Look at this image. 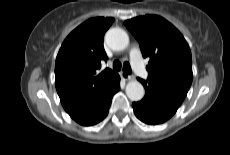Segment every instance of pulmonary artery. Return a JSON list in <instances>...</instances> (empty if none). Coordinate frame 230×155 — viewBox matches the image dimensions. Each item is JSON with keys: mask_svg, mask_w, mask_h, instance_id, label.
Instances as JSON below:
<instances>
[{"mask_svg": "<svg viewBox=\"0 0 230 155\" xmlns=\"http://www.w3.org/2000/svg\"><path fill=\"white\" fill-rule=\"evenodd\" d=\"M130 63L133 70L142 77H148V71L143 63L141 51L139 47L133 46L129 52Z\"/></svg>", "mask_w": 230, "mask_h": 155, "instance_id": "1", "label": "pulmonary artery"}]
</instances>
